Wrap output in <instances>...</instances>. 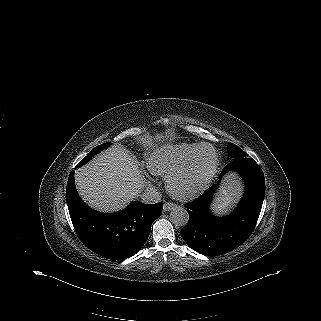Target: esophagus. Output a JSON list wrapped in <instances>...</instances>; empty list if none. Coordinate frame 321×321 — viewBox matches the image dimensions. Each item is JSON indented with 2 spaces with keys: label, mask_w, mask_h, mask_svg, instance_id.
Returning a JSON list of instances; mask_svg holds the SVG:
<instances>
[{
  "label": "esophagus",
  "mask_w": 321,
  "mask_h": 321,
  "mask_svg": "<svg viewBox=\"0 0 321 321\" xmlns=\"http://www.w3.org/2000/svg\"><path fill=\"white\" fill-rule=\"evenodd\" d=\"M176 207H177V205H176L175 203L166 202V203L164 204V210H165V211H170V210H172V209H174V208H176Z\"/></svg>",
  "instance_id": "obj_1"
}]
</instances>
